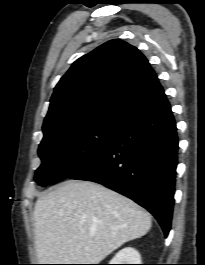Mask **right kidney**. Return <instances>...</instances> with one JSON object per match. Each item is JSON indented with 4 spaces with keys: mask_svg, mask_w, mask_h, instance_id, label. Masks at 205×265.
Returning <instances> with one entry per match:
<instances>
[{
    "mask_svg": "<svg viewBox=\"0 0 205 265\" xmlns=\"http://www.w3.org/2000/svg\"><path fill=\"white\" fill-rule=\"evenodd\" d=\"M110 264H141V256L132 247L123 248L114 256Z\"/></svg>",
    "mask_w": 205,
    "mask_h": 265,
    "instance_id": "obj_1",
    "label": "right kidney"
}]
</instances>
